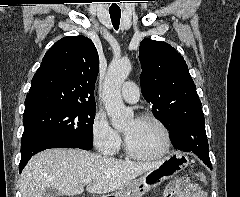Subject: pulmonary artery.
Segmentation results:
<instances>
[{
  "instance_id": "1",
  "label": "pulmonary artery",
  "mask_w": 240,
  "mask_h": 197,
  "mask_svg": "<svg viewBox=\"0 0 240 197\" xmlns=\"http://www.w3.org/2000/svg\"><path fill=\"white\" fill-rule=\"evenodd\" d=\"M121 96L129 103L137 102L140 97L138 86L132 81L125 82L121 89Z\"/></svg>"
}]
</instances>
